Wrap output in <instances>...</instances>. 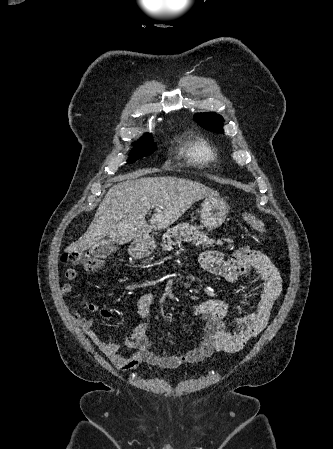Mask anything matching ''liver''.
Here are the masks:
<instances>
[{"label": "liver", "instance_id": "6515ba94", "mask_svg": "<svg viewBox=\"0 0 333 449\" xmlns=\"http://www.w3.org/2000/svg\"><path fill=\"white\" fill-rule=\"evenodd\" d=\"M112 186L99 205L92 223L68 253L92 249L105 237L117 244L140 240L152 230L165 229L176 222L195 202L218 197L219 193L199 182L177 177L138 176ZM155 209L150 225L145 216Z\"/></svg>", "mask_w": 333, "mask_h": 449}]
</instances>
